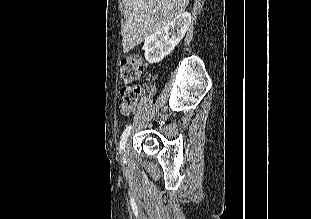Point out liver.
I'll list each match as a JSON object with an SVG mask.
<instances>
[{
    "mask_svg": "<svg viewBox=\"0 0 311 219\" xmlns=\"http://www.w3.org/2000/svg\"><path fill=\"white\" fill-rule=\"evenodd\" d=\"M123 4V52L128 53L183 13L189 0H123Z\"/></svg>",
    "mask_w": 311,
    "mask_h": 219,
    "instance_id": "liver-1",
    "label": "liver"
}]
</instances>
